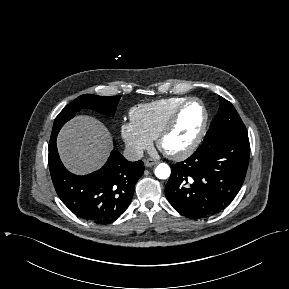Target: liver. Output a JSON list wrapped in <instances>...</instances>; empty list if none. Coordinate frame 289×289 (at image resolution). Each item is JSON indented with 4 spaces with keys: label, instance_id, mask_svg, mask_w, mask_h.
Masks as SVG:
<instances>
[{
    "label": "liver",
    "instance_id": "6515ba94",
    "mask_svg": "<svg viewBox=\"0 0 289 289\" xmlns=\"http://www.w3.org/2000/svg\"><path fill=\"white\" fill-rule=\"evenodd\" d=\"M57 147L70 171L86 174L105 163L112 148L111 134L99 120L80 115L61 129Z\"/></svg>",
    "mask_w": 289,
    "mask_h": 289
}]
</instances>
